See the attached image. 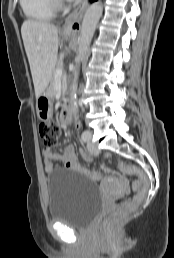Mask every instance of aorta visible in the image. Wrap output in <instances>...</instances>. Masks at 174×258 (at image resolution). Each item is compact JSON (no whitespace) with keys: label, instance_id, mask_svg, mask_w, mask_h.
Returning a JSON list of instances; mask_svg holds the SVG:
<instances>
[{"label":"aorta","instance_id":"762f6f07","mask_svg":"<svg viewBox=\"0 0 174 258\" xmlns=\"http://www.w3.org/2000/svg\"><path fill=\"white\" fill-rule=\"evenodd\" d=\"M102 12H103V5L100 1H98L90 5V7L87 9L83 17L80 35L78 38V42H79L78 55L76 57V66L73 72V82L71 85V110L75 117L78 114L77 80H78V74H79V64L86 56L88 47L95 33L97 23L100 17L102 16Z\"/></svg>","mask_w":174,"mask_h":258}]
</instances>
